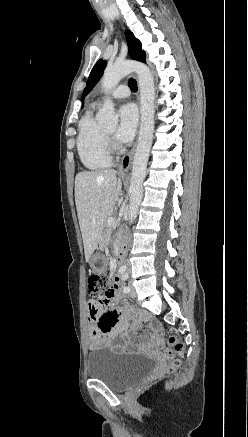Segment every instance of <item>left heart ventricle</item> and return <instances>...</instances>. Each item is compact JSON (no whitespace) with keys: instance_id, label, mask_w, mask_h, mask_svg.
Listing matches in <instances>:
<instances>
[{"instance_id":"1","label":"left heart ventricle","mask_w":248,"mask_h":437,"mask_svg":"<svg viewBox=\"0 0 248 437\" xmlns=\"http://www.w3.org/2000/svg\"><path fill=\"white\" fill-rule=\"evenodd\" d=\"M107 132H108V134H112L113 130L111 129V130H108Z\"/></svg>"}]
</instances>
